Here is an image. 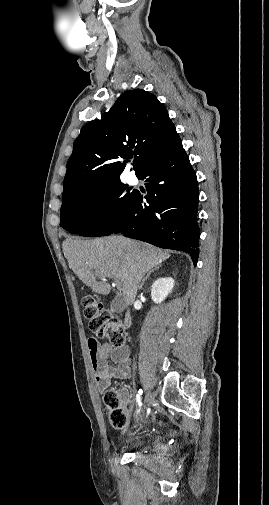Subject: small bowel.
I'll return each mask as SVG.
<instances>
[{"mask_svg":"<svg viewBox=\"0 0 269 505\" xmlns=\"http://www.w3.org/2000/svg\"><path fill=\"white\" fill-rule=\"evenodd\" d=\"M88 351L99 392L103 393L110 387L112 378L126 380L130 377V350L127 346L113 348L108 343H99L94 338H90ZM111 361L114 365H111ZM118 400L130 414L132 398L127 389L123 388L119 391Z\"/></svg>","mask_w":269,"mask_h":505,"instance_id":"small-bowel-1","label":"small bowel"}]
</instances>
